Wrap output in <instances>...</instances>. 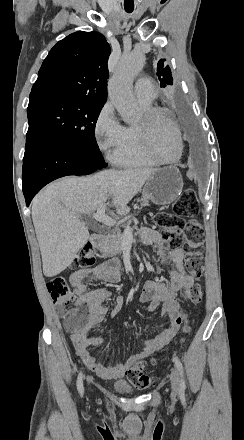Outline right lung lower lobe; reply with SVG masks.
<instances>
[{"label":"right lung lower lobe","instance_id":"98d812e1","mask_svg":"<svg viewBox=\"0 0 244 440\" xmlns=\"http://www.w3.org/2000/svg\"><path fill=\"white\" fill-rule=\"evenodd\" d=\"M106 166L99 150L88 151L49 136L26 137L23 193L26 205L49 182L69 175H87Z\"/></svg>","mask_w":244,"mask_h":440}]
</instances>
